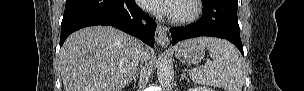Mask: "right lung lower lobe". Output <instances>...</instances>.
Wrapping results in <instances>:
<instances>
[{"label": "right lung lower lobe", "instance_id": "98d812e1", "mask_svg": "<svg viewBox=\"0 0 304 91\" xmlns=\"http://www.w3.org/2000/svg\"><path fill=\"white\" fill-rule=\"evenodd\" d=\"M141 19L148 22L141 24ZM94 25H111L153 46L155 21L134 0H67L61 23L60 47L74 31Z\"/></svg>", "mask_w": 304, "mask_h": 91}]
</instances>
